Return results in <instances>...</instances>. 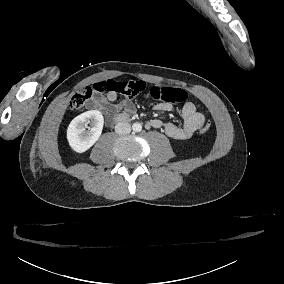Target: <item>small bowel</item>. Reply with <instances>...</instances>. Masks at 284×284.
Segmentation results:
<instances>
[{
	"mask_svg": "<svg viewBox=\"0 0 284 284\" xmlns=\"http://www.w3.org/2000/svg\"><path fill=\"white\" fill-rule=\"evenodd\" d=\"M117 99L118 94L110 92L105 97H96L93 100V107L107 111H113L119 107L124 115L134 113L135 104L131 99H124L118 106H116L113 103ZM155 109L158 111L169 112L174 110V107L169 103L161 102L155 105ZM180 115L183 119V124L180 126L172 122L153 119L146 123V127L148 129H162L169 138L174 140H187L190 139L207 122L205 115L202 114L191 102L184 104L180 110Z\"/></svg>",
	"mask_w": 284,
	"mask_h": 284,
	"instance_id": "c3829d8e",
	"label": "small bowel"
}]
</instances>
